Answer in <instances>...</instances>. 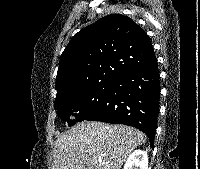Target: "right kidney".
Returning <instances> with one entry per match:
<instances>
[{
  "label": "right kidney",
  "instance_id": "right-kidney-1",
  "mask_svg": "<svg viewBox=\"0 0 200 169\" xmlns=\"http://www.w3.org/2000/svg\"><path fill=\"white\" fill-rule=\"evenodd\" d=\"M123 169H148V155L144 150H135L126 160Z\"/></svg>",
  "mask_w": 200,
  "mask_h": 169
}]
</instances>
